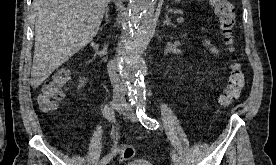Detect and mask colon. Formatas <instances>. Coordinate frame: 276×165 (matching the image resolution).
<instances>
[{
	"label": "colon",
	"mask_w": 276,
	"mask_h": 165,
	"mask_svg": "<svg viewBox=\"0 0 276 165\" xmlns=\"http://www.w3.org/2000/svg\"><path fill=\"white\" fill-rule=\"evenodd\" d=\"M213 11L219 21L221 33L229 52H234V28L236 25V13L234 6L228 0H210ZM69 82V73L60 71L46 82L41 90L38 103L43 111H52L57 107L64 95V88ZM245 86V73L237 58L231 56L227 85L219 97V104L228 107L235 102ZM134 156V149L130 145H122L118 150L120 161H129Z\"/></svg>",
	"instance_id": "obj_1"
}]
</instances>
